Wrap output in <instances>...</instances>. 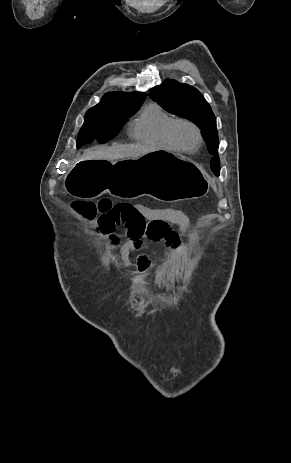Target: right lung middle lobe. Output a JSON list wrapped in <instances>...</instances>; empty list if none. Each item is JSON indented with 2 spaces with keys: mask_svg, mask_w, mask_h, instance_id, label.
<instances>
[{
  "mask_svg": "<svg viewBox=\"0 0 291 463\" xmlns=\"http://www.w3.org/2000/svg\"><path fill=\"white\" fill-rule=\"evenodd\" d=\"M142 103L123 109L96 108L89 109L85 115L84 124L79 132L77 148L97 140L105 143L111 140L121 130L126 120L140 107Z\"/></svg>",
  "mask_w": 291,
  "mask_h": 463,
  "instance_id": "obj_1",
  "label": "right lung middle lobe"
}]
</instances>
